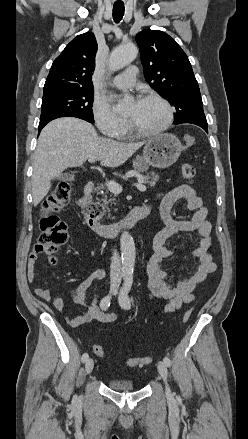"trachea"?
<instances>
[{
  "label": "trachea",
  "instance_id": "1",
  "mask_svg": "<svg viewBox=\"0 0 248 439\" xmlns=\"http://www.w3.org/2000/svg\"><path fill=\"white\" fill-rule=\"evenodd\" d=\"M124 5H114L113 6V19L116 23H119L124 15Z\"/></svg>",
  "mask_w": 248,
  "mask_h": 439
}]
</instances>
